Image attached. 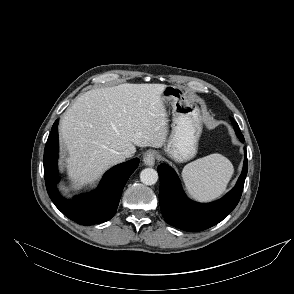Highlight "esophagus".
I'll return each instance as SVG.
<instances>
[{
	"label": "esophagus",
	"mask_w": 294,
	"mask_h": 294,
	"mask_svg": "<svg viewBox=\"0 0 294 294\" xmlns=\"http://www.w3.org/2000/svg\"><path fill=\"white\" fill-rule=\"evenodd\" d=\"M156 152L148 151L143 156V162L147 166H153L155 164Z\"/></svg>",
	"instance_id": "34e87169"
}]
</instances>
